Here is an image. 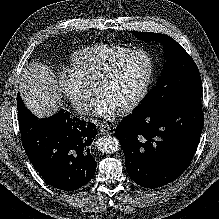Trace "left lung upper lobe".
Here are the masks:
<instances>
[{"label": "left lung upper lobe", "mask_w": 219, "mask_h": 219, "mask_svg": "<svg viewBox=\"0 0 219 219\" xmlns=\"http://www.w3.org/2000/svg\"><path fill=\"white\" fill-rule=\"evenodd\" d=\"M134 35L141 40L161 43L167 61L156 86L133 113L157 112L180 101L201 97L199 70L180 44L160 33L134 32Z\"/></svg>", "instance_id": "left-lung-upper-lobe-1"}]
</instances>
